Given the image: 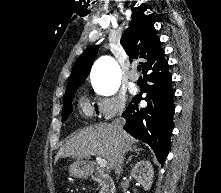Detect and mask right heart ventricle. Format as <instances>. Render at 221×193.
<instances>
[{
  "label": "right heart ventricle",
  "instance_id": "right-heart-ventricle-1",
  "mask_svg": "<svg viewBox=\"0 0 221 193\" xmlns=\"http://www.w3.org/2000/svg\"><path fill=\"white\" fill-rule=\"evenodd\" d=\"M81 109L86 116H90L92 113L91 107L86 103H81Z\"/></svg>",
  "mask_w": 221,
  "mask_h": 193
}]
</instances>
